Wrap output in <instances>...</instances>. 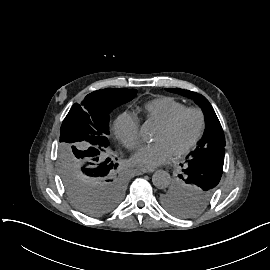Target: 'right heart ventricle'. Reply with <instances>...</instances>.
<instances>
[{"label": "right heart ventricle", "instance_id": "right-heart-ventricle-1", "mask_svg": "<svg viewBox=\"0 0 270 270\" xmlns=\"http://www.w3.org/2000/svg\"><path fill=\"white\" fill-rule=\"evenodd\" d=\"M184 108L182 102L167 96L157 97L144 105L145 117L157 119L161 124Z\"/></svg>", "mask_w": 270, "mask_h": 270}]
</instances>
